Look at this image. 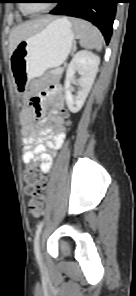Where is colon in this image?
<instances>
[{
    "label": "colon",
    "instance_id": "1",
    "mask_svg": "<svg viewBox=\"0 0 136 296\" xmlns=\"http://www.w3.org/2000/svg\"><path fill=\"white\" fill-rule=\"evenodd\" d=\"M25 183L26 191L31 194L29 210L33 215H38L45 203L46 178L29 167L25 172Z\"/></svg>",
    "mask_w": 136,
    "mask_h": 296
}]
</instances>
